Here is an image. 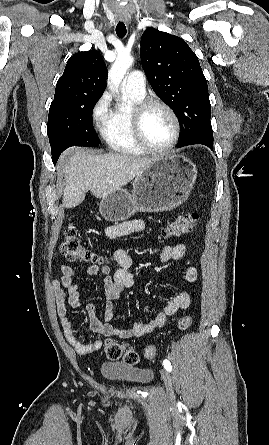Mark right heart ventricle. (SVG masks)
Masks as SVG:
<instances>
[{
    "label": "right heart ventricle",
    "mask_w": 269,
    "mask_h": 445,
    "mask_svg": "<svg viewBox=\"0 0 269 445\" xmlns=\"http://www.w3.org/2000/svg\"><path fill=\"white\" fill-rule=\"evenodd\" d=\"M126 103L109 112L101 123V134L108 146L121 154L142 156L145 151L137 144L132 130V111L144 96L124 90Z\"/></svg>",
    "instance_id": "obj_1"
}]
</instances>
